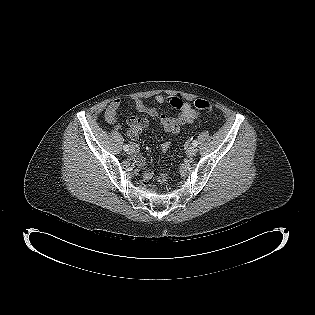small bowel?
Segmentation results:
<instances>
[{
	"mask_svg": "<svg viewBox=\"0 0 315 315\" xmlns=\"http://www.w3.org/2000/svg\"><path fill=\"white\" fill-rule=\"evenodd\" d=\"M138 112L143 113L149 117L156 118L159 116L158 111L154 107H150L145 104L144 100L141 98L131 99ZM154 100L159 104H169L172 108L177 111L176 117H168L161 115L159 117V125L166 133H178L181 126L193 123L198 117L199 112L192 108L189 101L181 99L177 96L170 95H156ZM125 99L119 98L113 100L105 110V120L107 123L115 125L117 128L120 126L117 124V111ZM149 122L146 119L141 120V122L135 123L128 128L127 133L131 138H136L142 130L148 127ZM136 133V134H135ZM170 147L169 142H165L161 151L166 152ZM134 161L139 165H145L144 157L137 152L136 147L133 146ZM153 173L150 169L146 168L143 173V179L148 181L152 178Z\"/></svg>",
	"mask_w": 315,
	"mask_h": 315,
	"instance_id": "obj_1",
	"label": "small bowel"
}]
</instances>
